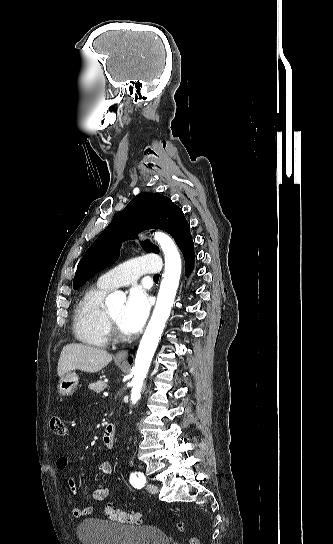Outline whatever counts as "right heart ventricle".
<instances>
[{"label": "right heart ventricle", "mask_w": 333, "mask_h": 544, "mask_svg": "<svg viewBox=\"0 0 333 544\" xmlns=\"http://www.w3.org/2000/svg\"><path fill=\"white\" fill-rule=\"evenodd\" d=\"M110 289L99 282L90 287L79 300L74 314L76 338L88 345L105 347L110 340L104 298Z\"/></svg>", "instance_id": "right-heart-ventricle-1"}]
</instances>
